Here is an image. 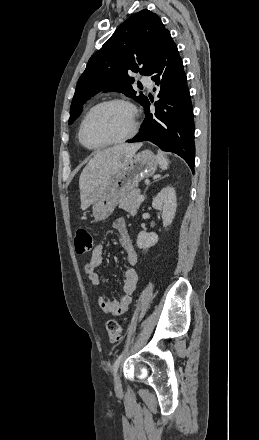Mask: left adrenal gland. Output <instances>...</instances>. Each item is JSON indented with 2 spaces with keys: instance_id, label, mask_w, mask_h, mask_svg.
I'll list each match as a JSON object with an SVG mask.
<instances>
[{
  "instance_id": "left-adrenal-gland-1",
  "label": "left adrenal gland",
  "mask_w": 259,
  "mask_h": 440,
  "mask_svg": "<svg viewBox=\"0 0 259 440\" xmlns=\"http://www.w3.org/2000/svg\"><path fill=\"white\" fill-rule=\"evenodd\" d=\"M167 175H165L164 177H166ZM164 177H161V178H159L158 180H160V179H163ZM157 181V180H156Z\"/></svg>"
}]
</instances>
